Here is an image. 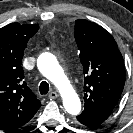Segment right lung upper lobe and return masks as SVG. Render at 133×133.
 Instances as JSON below:
<instances>
[{
  "label": "right lung upper lobe",
  "mask_w": 133,
  "mask_h": 133,
  "mask_svg": "<svg viewBox=\"0 0 133 133\" xmlns=\"http://www.w3.org/2000/svg\"><path fill=\"white\" fill-rule=\"evenodd\" d=\"M34 24L11 23L0 29V127L25 125L41 106L23 80L21 66L28 40L38 31Z\"/></svg>",
  "instance_id": "right-lung-upper-lobe-1"
}]
</instances>
